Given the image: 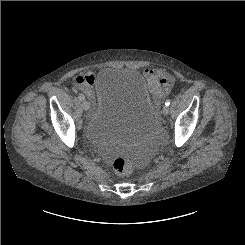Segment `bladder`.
Returning <instances> with one entry per match:
<instances>
[{
    "label": "bladder",
    "mask_w": 245,
    "mask_h": 245,
    "mask_svg": "<svg viewBox=\"0 0 245 245\" xmlns=\"http://www.w3.org/2000/svg\"><path fill=\"white\" fill-rule=\"evenodd\" d=\"M159 124L143 77L134 68L107 66L97 75L94 108L84 128L89 143L133 144Z\"/></svg>",
    "instance_id": "1"
}]
</instances>
